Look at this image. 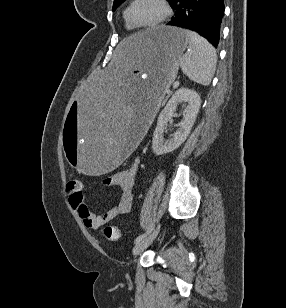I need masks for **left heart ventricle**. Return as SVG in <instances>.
<instances>
[{"label": "left heart ventricle", "instance_id": "obj_1", "mask_svg": "<svg viewBox=\"0 0 286 308\" xmlns=\"http://www.w3.org/2000/svg\"><path fill=\"white\" fill-rule=\"evenodd\" d=\"M158 0H138L131 9V19L137 25L149 24L162 15Z\"/></svg>", "mask_w": 286, "mask_h": 308}]
</instances>
